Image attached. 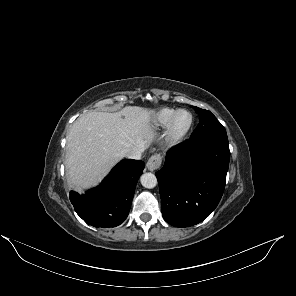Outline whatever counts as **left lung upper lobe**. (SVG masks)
<instances>
[{
    "mask_svg": "<svg viewBox=\"0 0 296 296\" xmlns=\"http://www.w3.org/2000/svg\"><path fill=\"white\" fill-rule=\"evenodd\" d=\"M194 109L200 116V123L190 136V139H198L213 135H226L224 126L210 111L198 107H194Z\"/></svg>",
    "mask_w": 296,
    "mask_h": 296,
    "instance_id": "obj_1",
    "label": "left lung upper lobe"
}]
</instances>
